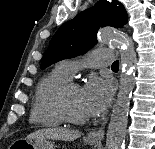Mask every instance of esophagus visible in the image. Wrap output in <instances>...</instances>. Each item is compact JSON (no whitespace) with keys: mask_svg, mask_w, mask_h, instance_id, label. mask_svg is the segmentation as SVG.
Returning <instances> with one entry per match:
<instances>
[{"mask_svg":"<svg viewBox=\"0 0 155 149\" xmlns=\"http://www.w3.org/2000/svg\"><path fill=\"white\" fill-rule=\"evenodd\" d=\"M104 128L92 131L87 135V140L90 142H101L104 137Z\"/></svg>","mask_w":155,"mask_h":149,"instance_id":"34e87169","label":"esophagus"}]
</instances>
